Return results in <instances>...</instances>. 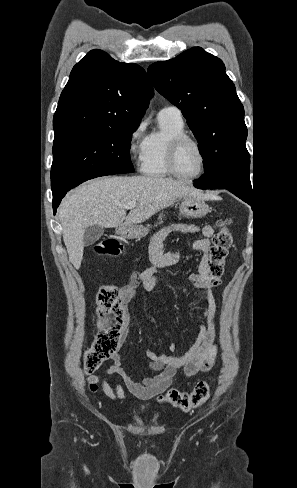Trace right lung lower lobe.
I'll return each mask as SVG.
<instances>
[{
  "label": "right lung lower lobe",
  "mask_w": 297,
  "mask_h": 488,
  "mask_svg": "<svg viewBox=\"0 0 297 488\" xmlns=\"http://www.w3.org/2000/svg\"><path fill=\"white\" fill-rule=\"evenodd\" d=\"M66 193L60 195V196H57L53 199V210H54V214L56 213V209L57 207L59 206L60 202H61V199L65 196Z\"/></svg>",
  "instance_id": "1"
}]
</instances>
